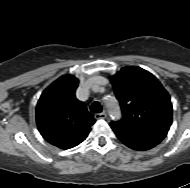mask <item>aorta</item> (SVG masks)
<instances>
[{"mask_svg":"<svg viewBox=\"0 0 190 188\" xmlns=\"http://www.w3.org/2000/svg\"><path fill=\"white\" fill-rule=\"evenodd\" d=\"M104 103L108 109L109 115L113 120H118L121 117V111L117 99L112 95L104 97Z\"/></svg>","mask_w":190,"mask_h":188,"instance_id":"762f6f07","label":"aorta"}]
</instances>
